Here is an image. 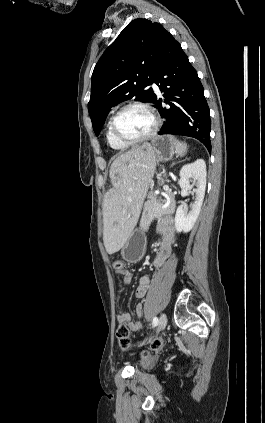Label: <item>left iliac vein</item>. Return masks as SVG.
<instances>
[{
    "label": "left iliac vein",
    "instance_id": "left-iliac-vein-1",
    "mask_svg": "<svg viewBox=\"0 0 265 423\" xmlns=\"http://www.w3.org/2000/svg\"><path fill=\"white\" fill-rule=\"evenodd\" d=\"M167 324V316L165 313H162L160 315L159 321H158V328H157V332L163 330L165 328Z\"/></svg>",
    "mask_w": 265,
    "mask_h": 423
}]
</instances>
